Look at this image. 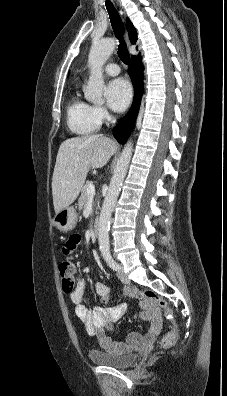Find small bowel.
Wrapping results in <instances>:
<instances>
[{
    "mask_svg": "<svg viewBox=\"0 0 227 396\" xmlns=\"http://www.w3.org/2000/svg\"><path fill=\"white\" fill-rule=\"evenodd\" d=\"M79 236H72L64 247V253L69 254L75 250L79 243ZM95 290L101 300L105 303L111 300L110 287L104 282H97ZM137 289L130 288L125 290L126 296L133 297L134 294H140ZM86 295V282L80 279L71 293V300L75 304V314L77 318L85 325L87 332L95 336L101 347L106 351H116L122 349L126 345L133 346L140 343L154 340L161 332L162 320L158 309L150 301L139 298V306L141 312L138 317L149 321L148 332L143 335L139 332H130L127 335L126 343H122L112 339L107 332L113 330V323L119 321L124 313L125 306L118 305L112 307H95L90 310L84 303Z\"/></svg>",
    "mask_w": 227,
    "mask_h": 396,
    "instance_id": "small-bowel-1",
    "label": "small bowel"
}]
</instances>
